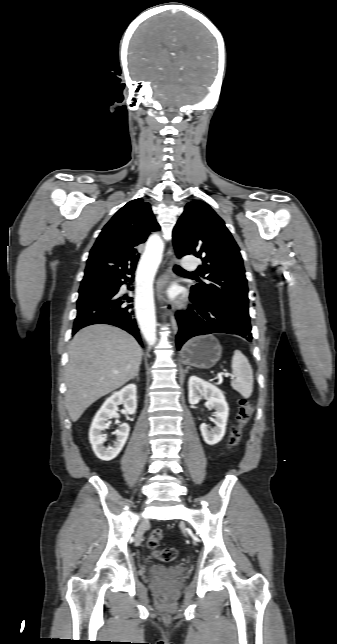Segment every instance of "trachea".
<instances>
[{
  "instance_id": "1",
  "label": "trachea",
  "mask_w": 337,
  "mask_h": 644,
  "mask_svg": "<svg viewBox=\"0 0 337 644\" xmlns=\"http://www.w3.org/2000/svg\"><path fill=\"white\" fill-rule=\"evenodd\" d=\"M174 270H175V271H177V272H181V273H186V274H191V275H193V274H194V273H192V272H187V271H185L184 269H182V268H181L180 266H178V265H175V266H174Z\"/></svg>"
}]
</instances>
